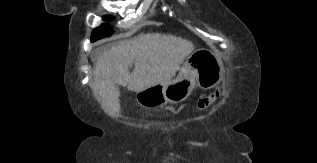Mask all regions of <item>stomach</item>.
I'll use <instances>...</instances> for the list:
<instances>
[{"label":"stomach","mask_w":317,"mask_h":163,"mask_svg":"<svg viewBox=\"0 0 317 163\" xmlns=\"http://www.w3.org/2000/svg\"><path fill=\"white\" fill-rule=\"evenodd\" d=\"M223 73L219 57L210 50L199 49L188 58L175 79L137 92L136 100L148 109L180 103L190 96L196 85L202 89L217 86L223 79Z\"/></svg>","instance_id":"0dacf381"}]
</instances>
